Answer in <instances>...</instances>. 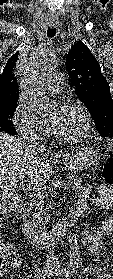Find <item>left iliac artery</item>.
I'll return each instance as SVG.
<instances>
[{
  "instance_id": "44dca946",
  "label": "left iliac artery",
  "mask_w": 113,
  "mask_h": 279,
  "mask_svg": "<svg viewBox=\"0 0 113 279\" xmlns=\"http://www.w3.org/2000/svg\"><path fill=\"white\" fill-rule=\"evenodd\" d=\"M63 276H64L66 279H70L71 273L67 271L66 273H64Z\"/></svg>"
}]
</instances>
